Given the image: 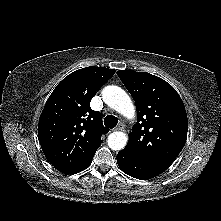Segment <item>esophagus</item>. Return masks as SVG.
Returning a JSON list of instances; mask_svg holds the SVG:
<instances>
[{
  "instance_id": "1",
  "label": "esophagus",
  "mask_w": 221,
  "mask_h": 221,
  "mask_svg": "<svg viewBox=\"0 0 221 221\" xmlns=\"http://www.w3.org/2000/svg\"><path fill=\"white\" fill-rule=\"evenodd\" d=\"M124 129V125L123 124H119L114 131H122Z\"/></svg>"
}]
</instances>
